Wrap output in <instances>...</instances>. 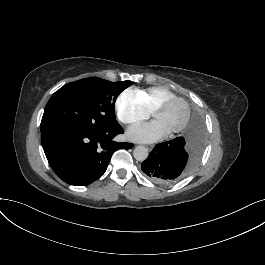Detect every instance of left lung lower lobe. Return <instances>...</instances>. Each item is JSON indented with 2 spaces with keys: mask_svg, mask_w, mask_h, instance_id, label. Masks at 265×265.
<instances>
[{
  "mask_svg": "<svg viewBox=\"0 0 265 265\" xmlns=\"http://www.w3.org/2000/svg\"><path fill=\"white\" fill-rule=\"evenodd\" d=\"M204 144L203 122L199 115H195L182 136L157 144L141 164V169L155 183L178 182L197 165Z\"/></svg>",
  "mask_w": 265,
  "mask_h": 265,
  "instance_id": "obj_1",
  "label": "left lung lower lobe"
}]
</instances>
